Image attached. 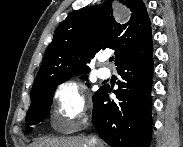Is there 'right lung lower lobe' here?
<instances>
[{
    "label": "right lung lower lobe",
    "instance_id": "1",
    "mask_svg": "<svg viewBox=\"0 0 183 147\" xmlns=\"http://www.w3.org/2000/svg\"><path fill=\"white\" fill-rule=\"evenodd\" d=\"M153 51L130 58L117 66L122 81L114 90L119 102L109 99L101 87L93 95V125L111 147H149Z\"/></svg>",
    "mask_w": 183,
    "mask_h": 147
}]
</instances>
